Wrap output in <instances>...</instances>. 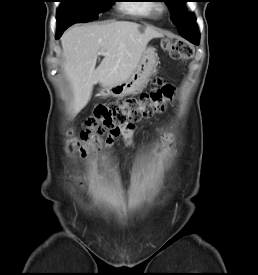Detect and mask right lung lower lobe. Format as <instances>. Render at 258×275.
Instances as JSON below:
<instances>
[{"label": "right lung lower lobe", "instance_id": "1", "mask_svg": "<svg viewBox=\"0 0 258 275\" xmlns=\"http://www.w3.org/2000/svg\"><path fill=\"white\" fill-rule=\"evenodd\" d=\"M73 22H62L57 23V35L56 38H59L63 31H65L69 26L73 25Z\"/></svg>", "mask_w": 258, "mask_h": 275}]
</instances>
